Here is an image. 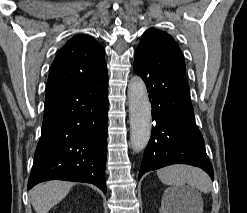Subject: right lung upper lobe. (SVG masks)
I'll use <instances>...</instances> for the list:
<instances>
[{"mask_svg":"<svg viewBox=\"0 0 247 213\" xmlns=\"http://www.w3.org/2000/svg\"><path fill=\"white\" fill-rule=\"evenodd\" d=\"M106 72L103 47L89 35H76L67 41L55 57L50 68L46 92Z\"/></svg>","mask_w":247,"mask_h":213,"instance_id":"right-lung-upper-lobe-1","label":"right lung upper lobe"}]
</instances>
